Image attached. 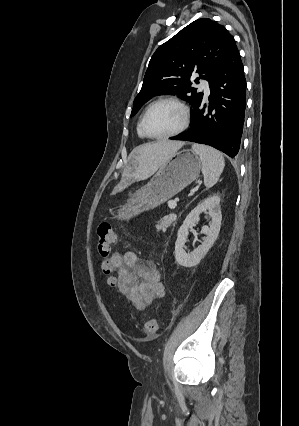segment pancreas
<instances>
[{
    "instance_id": "1",
    "label": "pancreas",
    "mask_w": 299,
    "mask_h": 426,
    "mask_svg": "<svg viewBox=\"0 0 299 426\" xmlns=\"http://www.w3.org/2000/svg\"><path fill=\"white\" fill-rule=\"evenodd\" d=\"M174 221H175L174 215H167L163 217L157 222V225H156L157 231L162 230L163 232H165L166 228L171 226Z\"/></svg>"
}]
</instances>
